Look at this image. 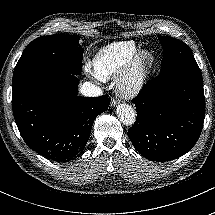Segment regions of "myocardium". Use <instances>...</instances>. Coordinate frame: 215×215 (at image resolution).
Listing matches in <instances>:
<instances>
[{
	"instance_id": "myocardium-1",
	"label": "myocardium",
	"mask_w": 215,
	"mask_h": 215,
	"mask_svg": "<svg viewBox=\"0 0 215 215\" xmlns=\"http://www.w3.org/2000/svg\"><path fill=\"white\" fill-rule=\"evenodd\" d=\"M155 56L152 50H137L123 68L118 81L117 91L123 97L136 95L144 86L148 70L153 65Z\"/></svg>"
}]
</instances>
